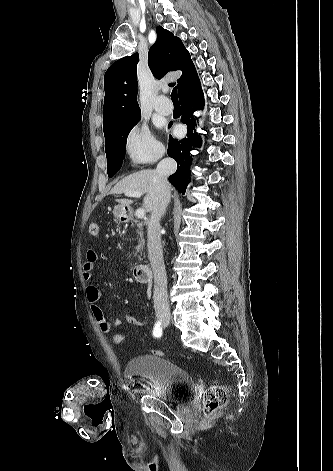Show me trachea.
Segmentation results:
<instances>
[{"label":"trachea","instance_id":"3493384b","mask_svg":"<svg viewBox=\"0 0 333 471\" xmlns=\"http://www.w3.org/2000/svg\"><path fill=\"white\" fill-rule=\"evenodd\" d=\"M171 100L173 101V103H178V96H177V88L174 87L172 92H171Z\"/></svg>","mask_w":333,"mask_h":471}]
</instances>
